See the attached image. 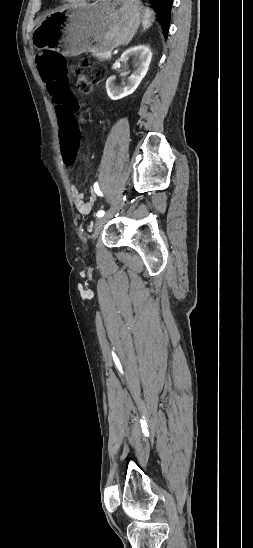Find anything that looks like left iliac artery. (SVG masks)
<instances>
[{"instance_id":"left-iliac-artery-1","label":"left iliac artery","mask_w":253,"mask_h":548,"mask_svg":"<svg viewBox=\"0 0 253 548\" xmlns=\"http://www.w3.org/2000/svg\"><path fill=\"white\" fill-rule=\"evenodd\" d=\"M95 187H96V192H97V194L100 195V196H103V194H102L101 191L99 190L98 183H95ZM104 214H105V211H104V210H100V211L97 212L96 216H97V217H102V216H104Z\"/></svg>"}]
</instances>
